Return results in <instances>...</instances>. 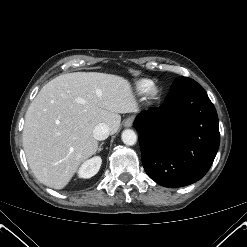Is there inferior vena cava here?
<instances>
[{
    "instance_id": "inferior-vena-cava-1",
    "label": "inferior vena cava",
    "mask_w": 247,
    "mask_h": 247,
    "mask_svg": "<svg viewBox=\"0 0 247 247\" xmlns=\"http://www.w3.org/2000/svg\"><path fill=\"white\" fill-rule=\"evenodd\" d=\"M109 127L106 123H99L93 130V137L96 140H105L109 136Z\"/></svg>"
}]
</instances>
